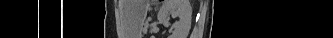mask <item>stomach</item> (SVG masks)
I'll use <instances>...</instances> for the list:
<instances>
[{
	"mask_svg": "<svg viewBox=\"0 0 333 38\" xmlns=\"http://www.w3.org/2000/svg\"><path fill=\"white\" fill-rule=\"evenodd\" d=\"M141 24L143 23L144 19H145V10L143 9L142 10V13H141Z\"/></svg>",
	"mask_w": 333,
	"mask_h": 38,
	"instance_id": "stomach-1",
	"label": "stomach"
}]
</instances>
